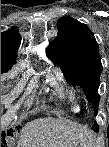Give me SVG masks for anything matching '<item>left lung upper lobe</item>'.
Returning a JSON list of instances; mask_svg holds the SVG:
<instances>
[{"instance_id":"1","label":"left lung upper lobe","mask_w":109,"mask_h":147,"mask_svg":"<svg viewBox=\"0 0 109 147\" xmlns=\"http://www.w3.org/2000/svg\"><path fill=\"white\" fill-rule=\"evenodd\" d=\"M58 27V35L47 49L48 56L60 64L62 72L72 84L84 89L87 99L94 102L93 108L97 114L102 64L95 37L86 24L70 17L59 19ZM98 129L95 123L93 130Z\"/></svg>"}]
</instances>
